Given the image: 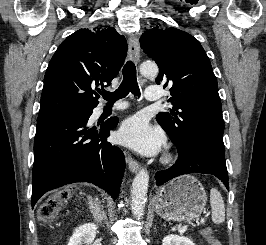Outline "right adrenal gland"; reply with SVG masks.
Here are the masks:
<instances>
[{"instance_id":"1","label":"right adrenal gland","mask_w":266,"mask_h":245,"mask_svg":"<svg viewBox=\"0 0 266 245\" xmlns=\"http://www.w3.org/2000/svg\"><path fill=\"white\" fill-rule=\"evenodd\" d=\"M89 209L92 213L93 219H95L96 223H108V219L104 213V211H100L99 209V199H92V197H87Z\"/></svg>"}]
</instances>
